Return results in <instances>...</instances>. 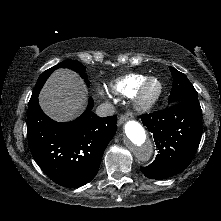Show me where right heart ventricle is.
Returning <instances> with one entry per match:
<instances>
[{
    "instance_id": "1",
    "label": "right heart ventricle",
    "mask_w": 221,
    "mask_h": 221,
    "mask_svg": "<svg viewBox=\"0 0 221 221\" xmlns=\"http://www.w3.org/2000/svg\"><path fill=\"white\" fill-rule=\"evenodd\" d=\"M148 78L143 74H129L114 80L110 89L114 93L130 96L133 95L139 86Z\"/></svg>"
}]
</instances>
